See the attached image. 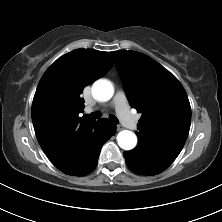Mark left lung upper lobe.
I'll return each mask as SVG.
<instances>
[{
  "label": "left lung upper lobe",
  "instance_id": "5c2ea615",
  "mask_svg": "<svg viewBox=\"0 0 222 222\" xmlns=\"http://www.w3.org/2000/svg\"><path fill=\"white\" fill-rule=\"evenodd\" d=\"M133 108L141 113L139 143L175 160L187 139L191 107L178 79L149 56L135 51L111 52Z\"/></svg>",
  "mask_w": 222,
  "mask_h": 222
}]
</instances>
